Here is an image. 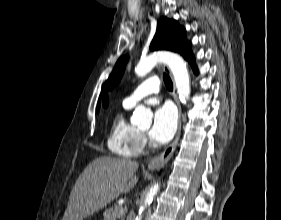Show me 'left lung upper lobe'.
I'll return each instance as SVG.
<instances>
[{
	"label": "left lung upper lobe",
	"mask_w": 281,
	"mask_h": 220,
	"mask_svg": "<svg viewBox=\"0 0 281 220\" xmlns=\"http://www.w3.org/2000/svg\"><path fill=\"white\" fill-rule=\"evenodd\" d=\"M151 50H169L180 53L188 62L193 59L191 44L186 40V31L176 20L166 17L160 18L157 23L156 34L150 44ZM128 56L119 58L113 72L105 82L102 92L117 85L123 75ZM99 105L97 111H99Z\"/></svg>",
	"instance_id": "1"
}]
</instances>
